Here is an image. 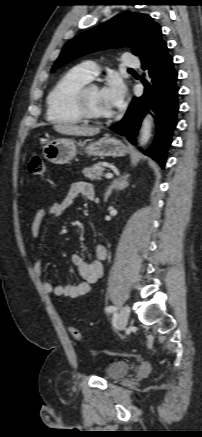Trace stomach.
I'll use <instances>...</instances> for the list:
<instances>
[{"instance_id":"stomach-1","label":"stomach","mask_w":202,"mask_h":437,"mask_svg":"<svg viewBox=\"0 0 202 437\" xmlns=\"http://www.w3.org/2000/svg\"><path fill=\"white\" fill-rule=\"evenodd\" d=\"M77 146L84 148L90 156L123 157L128 153L127 146L120 140L112 137H103L97 141L76 144L71 139H57L43 146V157L55 164H64L72 160L78 153Z\"/></svg>"}]
</instances>
